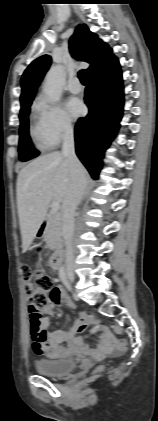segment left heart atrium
Instances as JSON below:
<instances>
[{
	"label": "left heart atrium",
	"instance_id": "39dd6f15",
	"mask_svg": "<svg viewBox=\"0 0 158 421\" xmlns=\"http://www.w3.org/2000/svg\"><path fill=\"white\" fill-rule=\"evenodd\" d=\"M66 109L73 118H77L84 113L85 106L80 99L70 98L66 103Z\"/></svg>",
	"mask_w": 158,
	"mask_h": 421
}]
</instances>
